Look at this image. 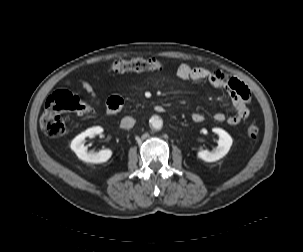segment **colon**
Segmentation results:
<instances>
[{"instance_id":"colon-1","label":"colon","mask_w":303,"mask_h":252,"mask_svg":"<svg viewBox=\"0 0 303 252\" xmlns=\"http://www.w3.org/2000/svg\"><path fill=\"white\" fill-rule=\"evenodd\" d=\"M164 64L156 59L117 60L110 65L113 73H125L128 71L161 70ZM92 110L90 104L83 102L78 96L69 90L61 89L51 94L46 102L41 116V128L49 137H61L68 132V128L61 116L62 113L85 114ZM249 137L255 138L259 133V127L251 124L247 128Z\"/></svg>"}]
</instances>
